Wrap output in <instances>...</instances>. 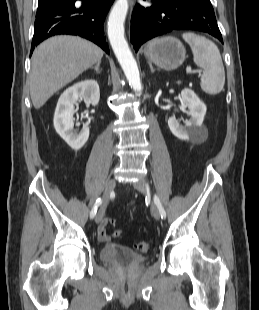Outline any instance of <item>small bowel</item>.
Instances as JSON below:
<instances>
[{
  "mask_svg": "<svg viewBox=\"0 0 259 310\" xmlns=\"http://www.w3.org/2000/svg\"><path fill=\"white\" fill-rule=\"evenodd\" d=\"M106 222H101L97 229V236L99 241L103 243H109L110 242V236L107 234L106 231Z\"/></svg>",
  "mask_w": 259,
  "mask_h": 310,
  "instance_id": "obj_1",
  "label": "small bowel"
}]
</instances>
